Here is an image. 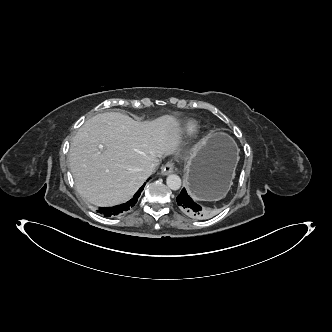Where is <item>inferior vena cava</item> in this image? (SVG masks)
<instances>
[{
  "mask_svg": "<svg viewBox=\"0 0 332 332\" xmlns=\"http://www.w3.org/2000/svg\"><path fill=\"white\" fill-rule=\"evenodd\" d=\"M157 165H158V164H156V163H152V164L146 169L148 175H151V174H153V173L156 171Z\"/></svg>",
  "mask_w": 332,
  "mask_h": 332,
  "instance_id": "inferior-vena-cava-1",
  "label": "inferior vena cava"
}]
</instances>
